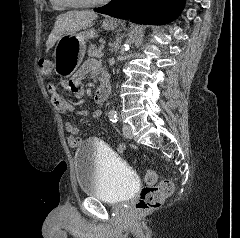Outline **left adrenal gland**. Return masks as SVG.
Here are the masks:
<instances>
[{
  "label": "left adrenal gland",
  "instance_id": "1",
  "mask_svg": "<svg viewBox=\"0 0 240 238\" xmlns=\"http://www.w3.org/2000/svg\"><path fill=\"white\" fill-rule=\"evenodd\" d=\"M113 46H114V47H117V46H118V42H117V41L114 42V43H113Z\"/></svg>",
  "mask_w": 240,
  "mask_h": 238
}]
</instances>
